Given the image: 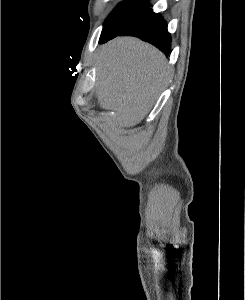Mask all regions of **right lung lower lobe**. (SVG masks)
I'll return each instance as SVG.
<instances>
[{"mask_svg": "<svg viewBox=\"0 0 245 300\" xmlns=\"http://www.w3.org/2000/svg\"><path fill=\"white\" fill-rule=\"evenodd\" d=\"M116 36H135L153 44L167 56L171 53V36L166 22L158 13H149L124 31L101 38L99 43H105Z\"/></svg>", "mask_w": 245, "mask_h": 300, "instance_id": "98d812e1", "label": "right lung lower lobe"}]
</instances>
